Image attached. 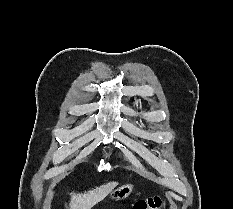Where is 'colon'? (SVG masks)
<instances>
[{
    "instance_id": "5ec220e1",
    "label": "colon",
    "mask_w": 233,
    "mask_h": 209,
    "mask_svg": "<svg viewBox=\"0 0 233 209\" xmlns=\"http://www.w3.org/2000/svg\"><path fill=\"white\" fill-rule=\"evenodd\" d=\"M161 198L159 196H150L136 201L132 209H160Z\"/></svg>"
}]
</instances>
